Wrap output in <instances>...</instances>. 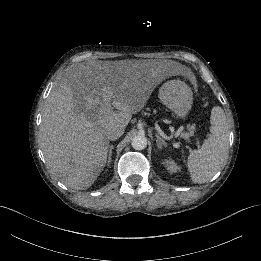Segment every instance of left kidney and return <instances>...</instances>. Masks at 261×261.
I'll list each match as a JSON object with an SVG mask.
<instances>
[{"label":"left kidney","mask_w":261,"mask_h":261,"mask_svg":"<svg viewBox=\"0 0 261 261\" xmlns=\"http://www.w3.org/2000/svg\"><path fill=\"white\" fill-rule=\"evenodd\" d=\"M163 164L169 173H175L180 170V167L172 159H166Z\"/></svg>","instance_id":"5707ae66"}]
</instances>
